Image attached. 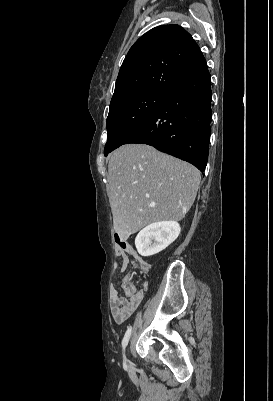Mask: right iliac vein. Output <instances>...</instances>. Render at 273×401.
I'll use <instances>...</instances> for the list:
<instances>
[{"instance_id": "63e3f726", "label": "right iliac vein", "mask_w": 273, "mask_h": 401, "mask_svg": "<svg viewBox=\"0 0 273 401\" xmlns=\"http://www.w3.org/2000/svg\"><path fill=\"white\" fill-rule=\"evenodd\" d=\"M129 364V368L131 369V364L130 363H128Z\"/></svg>"}]
</instances>
